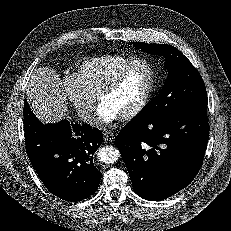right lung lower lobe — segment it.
<instances>
[{
    "instance_id": "1",
    "label": "right lung lower lobe",
    "mask_w": 231,
    "mask_h": 231,
    "mask_svg": "<svg viewBox=\"0 0 231 231\" xmlns=\"http://www.w3.org/2000/svg\"><path fill=\"white\" fill-rule=\"evenodd\" d=\"M23 115L26 152L46 188L70 202L92 195L101 180L93 164V154L103 141L101 131L66 119L43 124L26 100Z\"/></svg>"
}]
</instances>
